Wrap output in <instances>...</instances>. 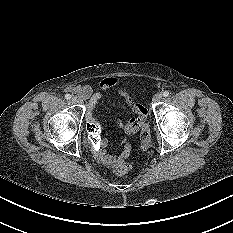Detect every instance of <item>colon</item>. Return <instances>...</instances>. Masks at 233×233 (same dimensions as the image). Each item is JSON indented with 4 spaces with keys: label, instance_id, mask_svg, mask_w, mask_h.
<instances>
[{
    "label": "colon",
    "instance_id": "1",
    "mask_svg": "<svg viewBox=\"0 0 233 233\" xmlns=\"http://www.w3.org/2000/svg\"><path fill=\"white\" fill-rule=\"evenodd\" d=\"M85 132L88 134L87 142L90 147H97L101 139V132L99 127L95 123H88L85 126ZM141 143L144 147L149 146L150 138V129L146 123L141 125V134H140ZM113 171L118 175L127 174L131 171V166L129 164H122L120 167L113 169Z\"/></svg>",
    "mask_w": 233,
    "mask_h": 233
}]
</instances>
